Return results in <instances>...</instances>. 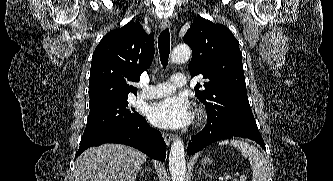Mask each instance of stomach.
<instances>
[{
  "instance_id": "1",
  "label": "stomach",
  "mask_w": 333,
  "mask_h": 181,
  "mask_svg": "<svg viewBox=\"0 0 333 181\" xmlns=\"http://www.w3.org/2000/svg\"><path fill=\"white\" fill-rule=\"evenodd\" d=\"M202 163L209 164V163H211V160L209 158H204V159H202Z\"/></svg>"
}]
</instances>
